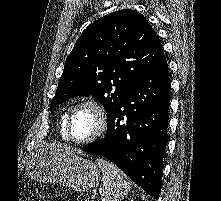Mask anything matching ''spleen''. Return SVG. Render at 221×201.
Here are the masks:
<instances>
[{
    "instance_id": "obj_1",
    "label": "spleen",
    "mask_w": 221,
    "mask_h": 201,
    "mask_svg": "<svg viewBox=\"0 0 221 201\" xmlns=\"http://www.w3.org/2000/svg\"><path fill=\"white\" fill-rule=\"evenodd\" d=\"M96 163L103 175V188L100 191L101 201H121L131 187L130 180L108 160L98 158Z\"/></svg>"
}]
</instances>
